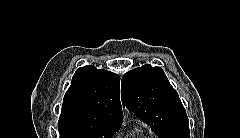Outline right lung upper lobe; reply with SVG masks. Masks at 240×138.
<instances>
[{
	"label": "right lung upper lobe",
	"instance_id": "obj_1",
	"mask_svg": "<svg viewBox=\"0 0 240 138\" xmlns=\"http://www.w3.org/2000/svg\"><path fill=\"white\" fill-rule=\"evenodd\" d=\"M120 77L92 65L77 69L63 100L60 119L121 125Z\"/></svg>",
	"mask_w": 240,
	"mask_h": 138
}]
</instances>
